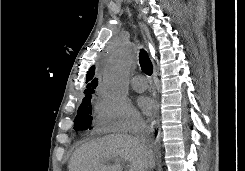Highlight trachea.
<instances>
[{"label":"trachea","mask_w":245,"mask_h":171,"mask_svg":"<svg viewBox=\"0 0 245 171\" xmlns=\"http://www.w3.org/2000/svg\"><path fill=\"white\" fill-rule=\"evenodd\" d=\"M139 63H140L142 71L145 74H147V75H151L152 74V72H153L152 63H151V60H150L147 52L144 49L140 50Z\"/></svg>","instance_id":"3493384b"}]
</instances>
